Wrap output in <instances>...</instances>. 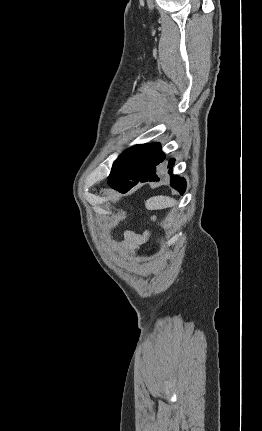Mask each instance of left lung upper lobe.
I'll return each mask as SVG.
<instances>
[{
    "label": "left lung upper lobe",
    "instance_id": "left-lung-upper-lobe-1",
    "mask_svg": "<svg viewBox=\"0 0 262 431\" xmlns=\"http://www.w3.org/2000/svg\"><path fill=\"white\" fill-rule=\"evenodd\" d=\"M142 146L143 145H136L127 149L114 162L111 173L108 177V184L113 189L121 187L129 181L131 177V164L137 153V150Z\"/></svg>",
    "mask_w": 262,
    "mask_h": 431
}]
</instances>
